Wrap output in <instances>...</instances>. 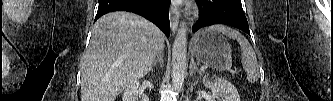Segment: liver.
<instances>
[{"instance_id":"obj_1","label":"liver","mask_w":333,"mask_h":101,"mask_svg":"<svg viewBox=\"0 0 333 101\" xmlns=\"http://www.w3.org/2000/svg\"><path fill=\"white\" fill-rule=\"evenodd\" d=\"M163 48V33L145 18L124 11L102 16L82 61L81 101H115L149 73Z\"/></svg>"}]
</instances>
